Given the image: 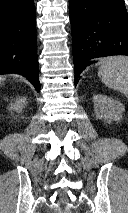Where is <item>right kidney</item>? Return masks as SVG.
Listing matches in <instances>:
<instances>
[{"instance_id": "ca27d5eb", "label": "right kidney", "mask_w": 128, "mask_h": 213, "mask_svg": "<svg viewBox=\"0 0 128 213\" xmlns=\"http://www.w3.org/2000/svg\"><path fill=\"white\" fill-rule=\"evenodd\" d=\"M27 102H26V98L22 97V98H18L16 99V101L14 103H11L8 107L9 111H13V112H17V113H21L22 109L25 108Z\"/></svg>"}]
</instances>
